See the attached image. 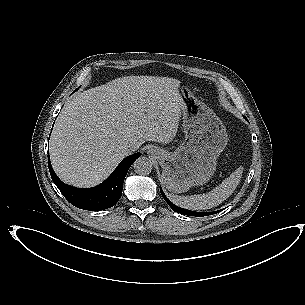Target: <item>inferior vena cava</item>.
Returning a JSON list of instances; mask_svg holds the SVG:
<instances>
[{"instance_id":"602c4592","label":"inferior vena cava","mask_w":305,"mask_h":305,"mask_svg":"<svg viewBox=\"0 0 305 305\" xmlns=\"http://www.w3.org/2000/svg\"><path fill=\"white\" fill-rule=\"evenodd\" d=\"M139 147H140V145L137 144V143H135V142H127V143L124 145V149H125L126 151H128L129 153H130V152L136 151Z\"/></svg>"}]
</instances>
